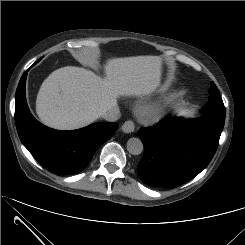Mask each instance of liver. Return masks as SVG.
I'll use <instances>...</instances> for the list:
<instances>
[{
	"instance_id": "1",
	"label": "liver",
	"mask_w": 245,
	"mask_h": 245,
	"mask_svg": "<svg viewBox=\"0 0 245 245\" xmlns=\"http://www.w3.org/2000/svg\"><path fill=\"white\" fill-rule=\"evenodd\" d=\"M104 71V78L75 66L53 71L37 94L40 121L59 130L79 129L117 107L119 97L151 95L161 83L162 59L150 55L112 58Z\"/></svg>"
}]
</instances>
